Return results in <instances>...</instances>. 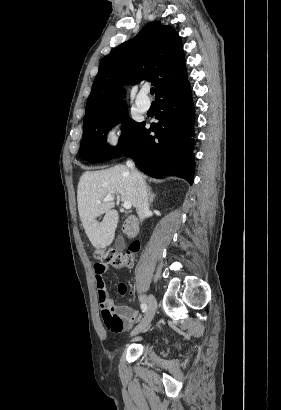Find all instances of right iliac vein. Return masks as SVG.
<instances>
[{"label":"right iliac vein","instance_id":"63e3f726","mask_svg":"<svg viewBox=\"0 0 281 410\" xmlns=\"http://www.w3.org/2000/svg\"><path fill=\"white\" fill-rule=\"evenodd\" d=\"M147 303H148V310L146 312V315L144 316L142 321L131 332V336H135L143 332L144 330H146V328L149 326V324L151 323L155 315V312L157 309V302L153 295L148 296Z\"/></svg>","mask_w":281,"mask_h":410}]
</instances>
